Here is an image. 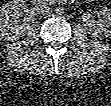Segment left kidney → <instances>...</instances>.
<instances>
[{
  "instance_id": "obj_1",
  "label": "left kidney",
  "mask_w": 111,
  "mask_h": 106,
  "mask_svg": "<svg viewBox=\"0 0 111 106\" xmlns=\"http://www.w3.org/2000/svg\"><path fill=\"white\" fill-rule=\"evenodd\" d=\"M99 13L102 17L89 25V33L93 36L107 37L111 34V9L103 7Z\"/></svg>"
}]
</instances>
